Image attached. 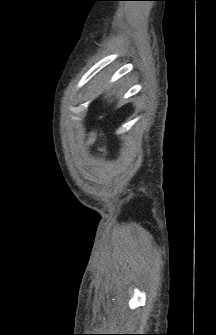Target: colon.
<instances>
[{
    "instance_id": "colon-1",
    "label": "colon",
    "mask_w": 216,
    "mask_h": 335,
    "mask_svg": "<svg viewBox=\"0 0 216 335\" xmlns=\"http://www.w3.org/2000/svg\"><path fill=\"white\" fill-rule=\"evenodd\" d=\"M103 153L101 151H98L96 154H88L87 159L89 161L90 165L94 164V161H99L100 164L104 163V160L102 159ZM96 171H101L102 167L101 166H96L95 167Z\"/></svg>"
}]
</instances>
